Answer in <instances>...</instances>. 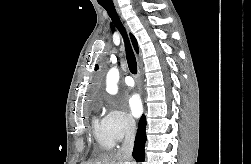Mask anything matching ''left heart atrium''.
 <instances>
[{
	"instance_id": "39dd6f15",
	"label": "left heart atrium",
	"mask_w": 251,
	"mask_h": 164,
	"mask_svg": "<svg viewBox=\"0 0 251 164\" xmlns=\"http://www.w3.org/2000/svg\"><path fill=\"white\" fill-rule=\"evenodd\" d=\"M128 109L134 117H139L142 113V103L140 96L136 93L128 98Z\"/></svg>"
}]
</instances>
